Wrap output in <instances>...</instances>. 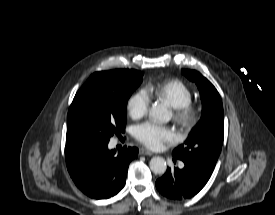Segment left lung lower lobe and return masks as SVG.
Instances as JSON below:
<instances>
[{"instance_id":"obj_1","label":"left lung lower lobe","mask_w":275,"mask_h":215,"mask_svg":"<svg viewBox=\"0 0 275 215\" xmlns=\"http://www.w3.org/2000/svg\"><path fill=\"white\" fill-rule=\"evenodd\" d=\"M182 169L167 168L165 174L156 181L157 190L172 200L189 199L196 195L208 182L213 170L184 162Z\"/></svg>"}]
</instances>
